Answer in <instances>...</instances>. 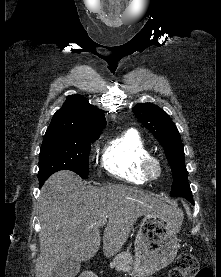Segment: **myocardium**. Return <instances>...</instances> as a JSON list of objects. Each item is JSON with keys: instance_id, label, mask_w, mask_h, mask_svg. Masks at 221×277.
<instances>
[{"instance_id": "myocardium-1", "label": "myocardium", "mask_w": 221, "mask_h": 277, "mask_svg": "<svg viewBox=\"0 0 221 277\" xmlns=\"http://www.w3.org/2000/svg\"><path fill=\"white\" fill-rule=\"evenodd\" d=\"M141 170L148 180H156L163 173V164L158 157L149 154L141 162Z\"/></svg>"}]
</instances>
